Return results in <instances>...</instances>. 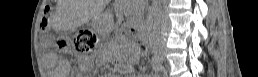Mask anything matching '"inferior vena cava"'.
Masks as SVG:
<instances>
[{
  "mask_svg": "<svg viewBox=\"0 0 258 77\" xmlns=\"http://www.w3.org/2000/svg\"><path fill=\"white\" fill-rule=\"evenodd\" d=\"M154 2H157V1H154ZM161 18H162V11L156 3L150 11V23L152 24L153 21Z\"/></svg>",
  "mask_w": 258,
  "mask_h": 77,
  "instance_id": "602c4592",
  "label": "inferior vena cava"
}]
</instances>
